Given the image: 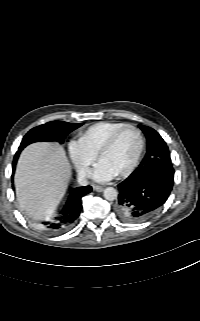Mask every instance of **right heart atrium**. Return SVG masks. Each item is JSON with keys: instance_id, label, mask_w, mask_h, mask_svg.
I'll return each instance as SVG.
<instances>
[{"instance_id": "1", "label": "right heart atrium", "mask_w": 200, "mask_h": 321, "mask_svg": "<svg viewBox=\"0 0 200 321\" xmlns=\"http://www.w3.org/2000/svg\"><path fill=\"white\" fill-rule=\"evenodd\" d=\"M69 157L80 176H85L88 167L96 159V154L90 151L80 140H71L68 143Z\"/></svg>"}]
</instances>
